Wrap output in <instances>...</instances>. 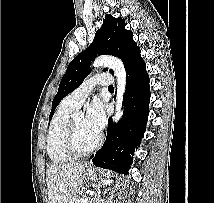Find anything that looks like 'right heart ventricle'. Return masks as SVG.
Listing matches in <instances>:
<instances>
[{
  "mask_svg": "<svg viewBox=\"0 0 214 203\" xmlns=\"http://www.w3.org/2000/svg\"><path fill=\"white\" fill-rule=\"evenodd\" d=\"M77 109L69 103L66 97L51 120L46 150L50 160L55 164H65L73 159L65 150L64 139L72 115Z\"/></svg>",
  "mask_w": 214,
  "mask_h": 203,
  "instance_id": "right-heart-ventricle-1",
  "label": "right heart ventricle"
}]
</instances>
